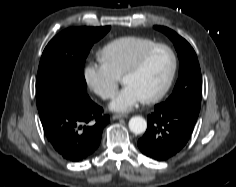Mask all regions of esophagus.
Wrapping results in <instances>:
<instances>
[{
    "instance_id": "1",
    "label": "esophagus",
    "mask_w": 236,
    "mask_h": 187,
    "mask_svg": "<svg viewBox=\"0 0 236 187\" xmlns=\"http://www.w3.org/2000/svg\"><path fill=\"white\" fill-rule=\"evenodd\" d=\"M121 118H127V115L125 114H115L112 116L113 120L121 119Z\"/></svg>"
}]
</instances>
